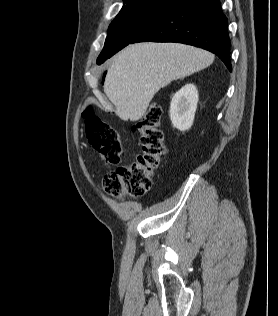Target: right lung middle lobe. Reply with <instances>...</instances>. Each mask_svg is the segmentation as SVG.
<instances>
[{
	"label": "right lung middle lobe",
	"instance_id": "dd1d6c3e",
	"mask_svg": "<svg viewBox=\"0 0 278 316\" xmlns=\"http://www.w3.org/2000/svg\"><path fill=\"white\" fill-rule=\"evenodd\" d=\"M124 5L109 26L104 48L97 63L101 64L130 44L162 11L169 0H123Z\"/></svg>",
	"mask_w": 278,
	"mask_h": 316
}]
</instances>
